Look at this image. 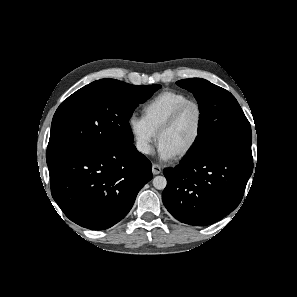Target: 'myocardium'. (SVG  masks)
Returning a JSON list of instances; mask_svg holds the SVG:
<instances>
[{"label":"myocardium","mask_w":297,"mask_h":297,"mask_svg":"<svg viewBox=\"0 0 297 297\" xmlns=\"http://www.w3.org/2000/svg\"><path fill=\"white\" fill-rule=\"evenodd\" d=\"M190 107H194L198 113V128H197V132H196L195 137L192 140V142L182 152L175 155L177 159H182V158H185L186 156H188L196 148V146L198 145V143L202 137L206 118H205L204 110L201 107V105L198 102L193 101V100H190V101L185 102L184 104L180 105L170 115V117L162 124V126L159 128V130L156 134L157 141H159L161 136L165 132L170 130L179 121V119L184 114V112Z\"/></svg>","instance_id":"f54148a6"}]
</instances>
